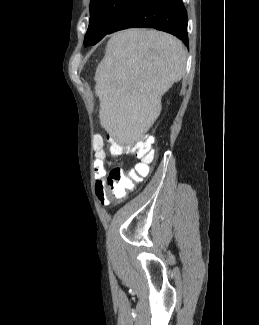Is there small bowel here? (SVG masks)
<instances>
[{"label":"small bowel","instance_id":"small-bowel-1","mask_svg":"<svg viewBox=\"0 0 259 325\" xmlns=\"http://www.w3.org/2000/svg\"><path fill=\"white\" fill-rule=\"evenodd\" d=\"M104 159H105V154L104 155H98L96 154V158H95V161H94V165H93V168H94V178H95V182H96V190H97V193H98V189H99V186H100V183L101 181L103 180V178L105 177L106 175V168H105V162H104ZM100 201L102 204H108L104 199H102L99 195H98Z\"/></svg>","mask_w":259,"mask_h":325}]
</instances>
